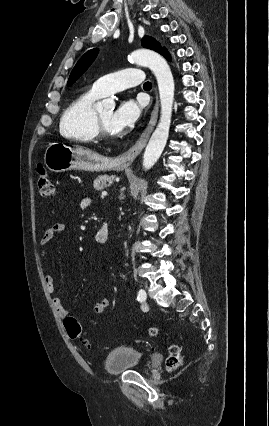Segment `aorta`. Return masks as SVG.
Masks as SVG:
<instances>
[{"label": "aorta", "instance_id": "obj_1", "mask_svg": "<svg viewBox=\"0 0 269 426\" xmlns=\"http://www.w3.org/2000/svg\"><path fill=\"white\" fill-rule=\"evenodd\" d=\"M129 59L138 65L150 68L158 83L160 120L146 146L142 162L144 169L149 170L161 156L168 139L174 100V80L166 60L152 50L138 49L131 53ZM104 106H114V102L105 99L96 104L97 110H102Z\"/></svg>", "mask_w": 269, "mask_h": 426}]
</instances>
